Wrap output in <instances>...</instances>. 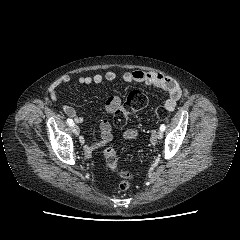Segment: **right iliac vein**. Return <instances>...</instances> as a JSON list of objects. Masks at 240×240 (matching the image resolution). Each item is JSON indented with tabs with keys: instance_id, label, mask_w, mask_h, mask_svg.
Masks as SVG:
<instances>
[{
	"instance_id": "63e3f726",
	"label": "right iliac vein",
	"mask_w": 240,
	"mask_h": 240,
	"mask_svg": "<svg viewBox=\"0 0 240 240\" xmlns=\"http://www.w3.org/2000/svg\"><path fill=\"white\" fill-rule=\"evenodd\" d=\"M72 131H73V133H74L76 136H78V135L80 134V129H79V127H78L77 125H74V126L72 127Z\"/></svg>"
}]
</instances>
